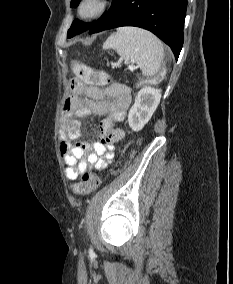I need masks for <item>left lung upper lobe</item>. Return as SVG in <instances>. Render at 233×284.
Listing matches in <instances>:
<instances>
[{
	"mask_svg": "<svg viewBox=\"0 0 233 284\" xmlns=\"http://www.w3.org/2000/svg\"><path fill=\"white\" fill-rule=\"evenodd\" d=\"M80 0H71V7L75 8L78 6ZM91 27V23H83L79 20L73 21L70 29L68 30L67 37L71 38L77 34H80L81 32H84L88 30Z\"/></svg>",
	"mask_w": 233,
	"mask_h": 284,
	"instance_id": "left-lung-upper-lobe-1",
	"label": "left lung upper lobe"
}]
</instances>
